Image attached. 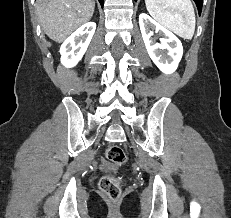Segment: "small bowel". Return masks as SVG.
Wrapping results in <instances>:
<instances>
[{"instance_id":"small-bowel-1","label":"small bowel","mask_w":231,"mask_h":218,"mask_svg":"<svg viewBox=\"0 0 231 218\" xmlns=\"http://www.w3.org/2000/svg\"><path fill=\"white\" fill-rule=\"evenodd\" d=\"M101 168L103 170H116L117 169V166L112 164V163H109L105 160H102L101 161Z\"/></svg>"}]
</instances>
